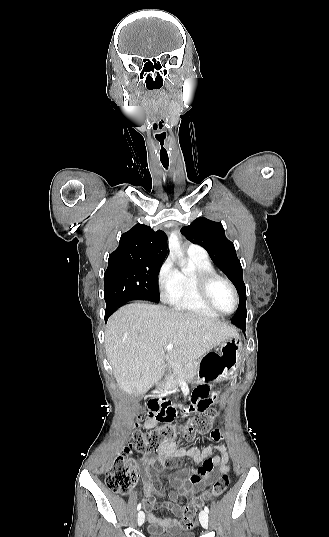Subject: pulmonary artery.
Wrapping results in <instances>:
<instances>
[{"mask_svg": "<svg viewBox=\"0 0 329 537\" xmlns=\"http://www.w3.org/2000/svg\"><path fill=\"white\" fill-rule=\"evenodd\" d=\"M187 253L190 256L200 257V258H206L208 257L207 252L204 248H202L199 245L196 244H190L187 247Z\"/></svg>", "mask_w": 329, "mask_h": 537, "instance_id": "e3ab8cb5", "label": "pulmonary artery"}]
</instances>
